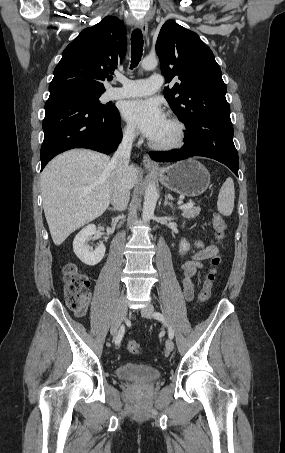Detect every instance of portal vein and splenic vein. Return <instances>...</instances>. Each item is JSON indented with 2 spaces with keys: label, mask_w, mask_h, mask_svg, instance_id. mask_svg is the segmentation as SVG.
Wrapping results in <instances>:
<instances>
[{
  "label": "portal vein and splenic vein",
  "mask_w": 285,
  "mask_h": 453,
  "mask_svg": "<svg viewBox=\"0 0 285 453\" xmlns=\"http://www.w3.org/2000/svg\"><path fill=\"white\" fill-rule=\"evenodd\" d=\"M178 205H180V208H181V209H184V208L192 207V206H193V203H192V202H189V203H187V204H182V202H178Z\"/></svg>",
  "instance_id": "1"
}]
</instances>
